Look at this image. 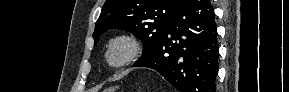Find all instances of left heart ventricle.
I'll return each mask as SVG.
<instances>
[{"instance_id": "obj_1", "label": "left heart ventricle", "mask_w": 289, "mask_h": 92, "mask_svg": "<svg viewBox=\"0 0 289 92\" xmlns=\"http://www.w3.org/2000/svg\"><path fill=\"white\" fill-rule=\"evenodd\" d=\"M120 52H121V48L118 47V48L116 49V55L120 54Z\"/></svg>"}]
</instances>
